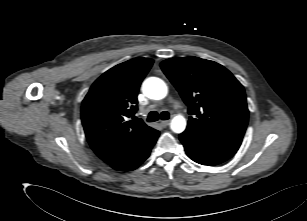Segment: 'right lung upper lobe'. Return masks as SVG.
I'll use <instances>...</instances> for the list:
<instances>
[{"label": "right lung upper lobe", "instance_id": "right-lung-upper-lobe-1", "mask_svg": "<svg viewBox=\"0 0 307 221\" xmlns=\"http://www.w3.org/2000/svg\"><path fill=\"white\" fill-rule=\"evenodd\" d=\"M153 64L135 58L106 71L82 102L81 118L92 150L111 165L122 160L154 131L142 120H128L137 111V94Z\"/></svg>", "mask_w": 307, "mask_h": 221}]
</instances>
